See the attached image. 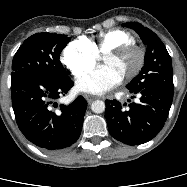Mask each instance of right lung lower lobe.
<instances>
[{"mask_svg":"<svg viewBox=\"0 0 187 187\" xmlns=\"http://www.w3.org/2000/svg\"><path fill=\"white\" fill-rule=\"evenodd\" d=\"M72 86L73 81L68 77L24 75L11 80L16 122L30 142L45 150L57 151L78 140L87 101L78 96L70 105H60L57 111L50 106Z\"/></svg>","mask_w":187,"mask_h":187,"instance_id":"right-lung-lower-lobe-1","label":"right lung lower lobe"}]
</instances>
